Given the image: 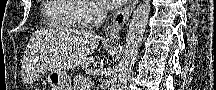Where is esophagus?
I'll list each match as a JSON object with an SVG mask.
<instances>
[{
    "label": "esophagus",
    "mask_w": 216,
    "mask_h": 90,
    "mask_svg": "<svg viewBox=\"0 0 216 90\" xmlns=\"http://www.w3.org/2000/svg\"><path fill=\"white\" fill-rule=\"evenodd\" d=\"M135 5L136 0H128L112 15L104 35L105 41L118 42L120 40V31L128 22Z\"/></svg>",
    "instance_id": "esophagus-1"
}]
</instances>
